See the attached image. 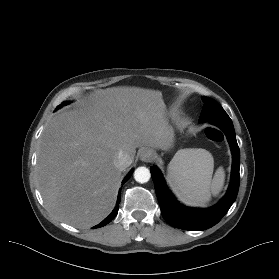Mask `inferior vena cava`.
Instances as JSON below:
<instances>
[{
    "label": "inferior vena cava",
    "mask_w": 279,
    "mask_h": 279,
    "mask_svg": "<svg viewBox=\"0 0 279 279\" xmlns=\"http://www.w3.org/2000/svg\"><path fill=\"white\" fill-rule=\"evenodd\" d=\"M132 163V158L130 155L124 152H120L114 161L115 167L123 171Z\"/></svg>",
    "instance_id": "1"
}]
</instances>
